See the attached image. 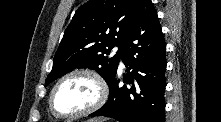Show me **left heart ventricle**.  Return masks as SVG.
Returning <instances> with one entry per match:
<instances>
[{"label":"left heart ventricle","instance_id":"1","mask_svg":"<svg viewBox=\"0 0 221 122\" xmlns=\"http://www.w3.org/2000/svg\"><path fill=\"white\" fill-rule=\"evenodd\" d=\"M98 89L86 76H75L63 82L55 92L54 105L61 113H76L93 104Z\"/></svg>","mask_w":221,"mask_h":122}]
</instances>
